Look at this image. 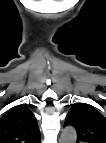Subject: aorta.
I'll use <instances>...</instances> for the list:
<instances>
[{
	"label": "aorta",
	"instance_id": "aorta-1",
	"mask_svg": "<svg viewBox=\"0 0 106 143\" xmlns=\"http://www.w3.org/2000/svg\"><path fill=\"white\" fill-rule=\"evenodd\" d=\"M77 139L76 130L71 127H65L60 136V143H75Z\"/></svg>",
	"mask_w": 106,
	"mask_h": 143
}]
</instances>
